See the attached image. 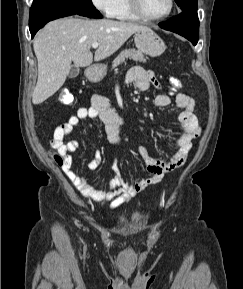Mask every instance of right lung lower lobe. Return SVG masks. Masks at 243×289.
I'll return each mask as SVG.
<instances>
[{"label": "right lung lower lobe", "mask_w": 243, "mask_h": 289, "mask_svg": "<svg viewBox=\"0 0 243 289\" xmlns=\"http://www.w3.org/2000/svg\"><path fill=\"white\" fill-rule=\"evenodd\" d=\"M81 15L89 18H102L94 6H83L72 3H60L51 0H34L29 18L31 36L51 20L70 16Z\"/></svg>", "instance_id": "obj_1"}]
</instances>
